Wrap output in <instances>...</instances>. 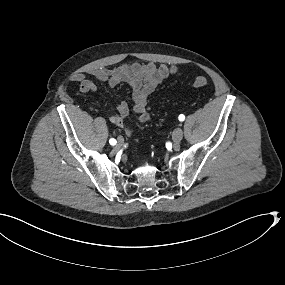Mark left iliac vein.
<instances>
[{"mask_svg": "<svg viewBox=\"0 0 285 285\" xmlns=\"http://www.w3.org/2000/svg\"><path fill=\"white\" fill-rule=\"evenodd\" d=\"M182 137H183V130L181 128H176L172 134V139L175 146L179 145Z\"/></svg>", "mask_w": 285, "mask_h": 285, "instance_id": "1", "label": "left iliac vein"}]
</instances>
